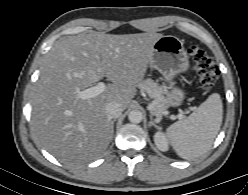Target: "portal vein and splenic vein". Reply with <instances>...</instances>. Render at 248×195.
<instances>
[{"label": "portal vein and splenic vein", "instance_id": "18ae733b", "mask_svg": "<svg viewBox=\"0 0 248 195\" xmlns=\"http://www.w3.org/2000/svg\"><path fill=\"white\" fill-rule=\"evenodd\" d=\"M105 89H106L105 83L99 82L96 86L90 87L83 91H79L77 96L78 98L85 100L98 96L99 94L103 93Z\"/></svg>", "mask_w": 248, "mask_h": 195}]
</instances>
